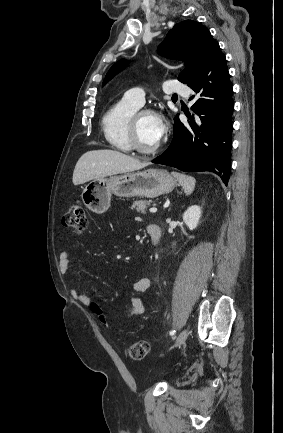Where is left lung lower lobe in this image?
<instances>
[{
	"mask_svg": "<svg viewBox=\"0 0 283 433\" xmlns=\"http://www.w3.org/2000/svg\"><path fill=\"white\" fill-rule=\"evenodd\" d=\"M197 94L188 121L174 119V135L167 150L153 163L182 171H210L227 185L231 173L232 87L226 58L218 43L197 62L185 83Z\"/></svg>",
	"mask_w": 283,
	"mask_h": 433,
	"instance_id": "1",
	"label": "left lung lower lobe"
}]
</instances>
